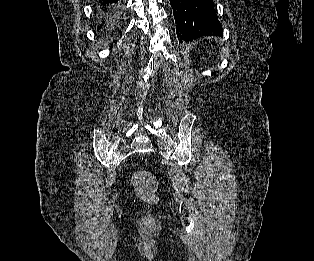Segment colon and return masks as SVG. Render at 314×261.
I'll use <instances>...</instances> for the list:
<instances>
[{
    "instance_id": "colon-1",
    "label": "colon",
    "mask_w": 314,
    "mask_h": 261,
    "mask_svg": "<svg viewBox=\"0 0 314 261\" xmlns=\"http://www.w3.org/2000/svg\"><path fill=\"white\" fill-rule=\"evenodd\" d=\"M132 181L135 186L137 195L144 201L155 204L158 197L155 193L156 180L152 173L144 170L136 171L132 175Z\"/></svg>"
}]
</instances>
